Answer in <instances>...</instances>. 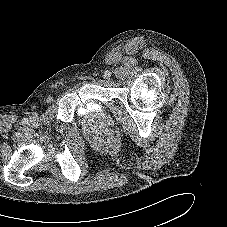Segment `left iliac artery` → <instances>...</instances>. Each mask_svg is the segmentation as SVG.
<instances>
[{
	"instance_id": "1",
	"label": "left iliac artery",
	"mask_w": 227,
	"mask_h": 227,
	"mask_svg": "<svg viewBox=\"0 0 227 227\" xmlns=\"http://www.w3.org/2000/svg\"><path fill=\"white\" fill-rule=\"evenodd\" d=\"M111 75V72L110 71H106L105 72V76H110Z\"/></svg>"
}]
</instances>
